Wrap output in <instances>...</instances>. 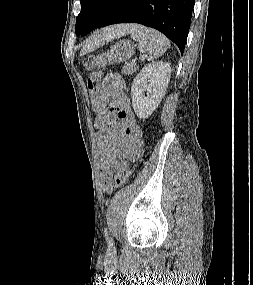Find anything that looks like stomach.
Wrapping results in <instances>:
<instances>
[{
  "label": "stomach",
  "mask_w": 253,
  "mask_h": 285,
  "mask_svg": "<svg viewBox=\"0 0 253 285\" xmlns=\"http://www.w3.org/2000/svg\"><path fill=\"white\" fill-rule=\"evenodd\" d=\"M135 46L129 40H122L113 45L110 50L104 52L85 63V67L91 70L95 67H105L106 65L121 63L129 60L134 52Z\"/></svg>",
  "instance_id": "0dacf381"
}]
</instances>
